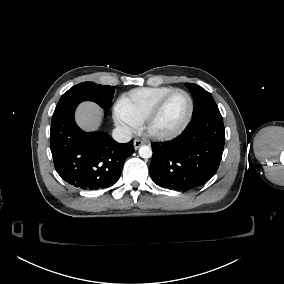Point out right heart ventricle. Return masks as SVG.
<instances>
[{
	"label": "right heart ventricle",
	"mask_w": 284,
	"mask_h": 284,
	"mask_svg": "<svg viewBox=\"0 0 284 284\" xmlns=\"http://www.w3.org/2000/svg\"><path fill=\"white\" fill-rule=\"evenodd\" d=\"M173 86L138 87L121 94L116 102V111L130 121L139 123L147 111Z\"/></svg>",
	"instance_id": "obj_1"
}]
</instances>
